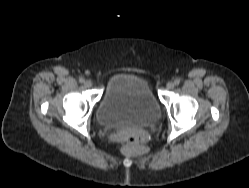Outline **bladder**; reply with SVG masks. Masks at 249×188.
<instances>
[{
	"label": "bladder",
	"mask_w": 249,
	"mask_h": 188,
	"mask_svg": "<svg viewBox=\"0 0 249 188\" xmlns=\"http://www.w3.org/2000/svg\"><path fill=\"white\" fill-rule=\"evenodd\" d=\"M150 84L132 74H117L107 83L97 107L99 123L112 128L144 127L160 118Z\"/></svg>",
	"instance_id": "31cf9c89"
}]
</instances>
